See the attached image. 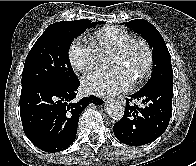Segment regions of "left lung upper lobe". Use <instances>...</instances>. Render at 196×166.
<instances>
[{
    "instance_id": "5c2ea615",
    "label": "left lung upper lobe",
    "mask_w": 196,
    "mask_h": 166,
    "mask_svg": "<svg viewBox=\"0 0 196 166\" xmlns=\"http://www.w3.org/2000/svg\"><path fill=\"white\" fill-rule=\"evenodd\" d=\"M125 25L141 34L153 49L154 71L151 79L144 87L155 82L173 81L171 56L158 30L151 23L143 19H135L127 22Z\"/></svg>"
}]
</instances>
